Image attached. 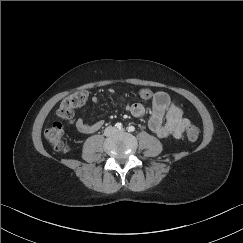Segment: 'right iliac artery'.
I'll list each match as a JSON object with an SVG mask.
<instances>
[{"label": "right iliac artery", "mask_w": 243, "mask_h": 243, "mask_svg": "<svg viewBox=\"0 0 243 243\" xmlns=\"http://www.w3.org/2000/svg\"><path fill=\"white\" fill-rule=\"evenodd\" d=\"M115 126H116V128L119 129V130L123 128V125H122L120 122L116 123Z\"/></svg>", "instance_id": "right-iliac-artery-1"}]
</instances>
